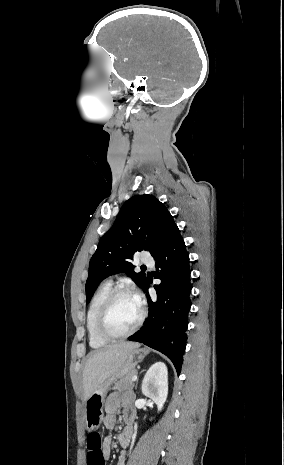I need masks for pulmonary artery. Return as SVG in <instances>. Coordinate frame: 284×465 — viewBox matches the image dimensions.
Returning <instances> with one entry per match:
<instances>
[{
  "instance_id": "1",
  "label": "pulmonary artery",
  "mask_w": 284,
  "mask_h": 465,
  "mask_svg": "<svg viewBox=\"0 0 284 465\" xmlns=\"http://www.w3.org/2000/svg\"><path fill=\"white\" fill-rule=\"evenodd\" d=\"M153 260V257L151 254H145V253H142L138 256V261L140 263H151ZM110 283V281H108Z\"/></svg>"
}]
</instances>
